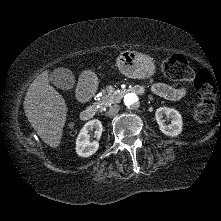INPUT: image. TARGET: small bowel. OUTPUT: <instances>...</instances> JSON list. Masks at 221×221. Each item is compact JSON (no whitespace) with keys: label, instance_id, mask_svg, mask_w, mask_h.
I'll list each match as a JSON object with an SVG mask.
<instances>
[{"label":"small bowel","instance_id":"small-bowel-1","mask_svg":"<svg viewBox=\"0 0 221 221\" xmlns=\"http://www.w3.org/2000/svg\"><path fill=\"white\" fill-rule=\"evenodd\" d=\"M136 90H138V92H141L142 88L138 87L136 88ZM153 91L157 95L170 101H179L180 99L185 97L187 93L185 88H175L164 83L155 84L153 87Z\"/></svg>","mask_w":221,"mask_h":221}]
</instances>
